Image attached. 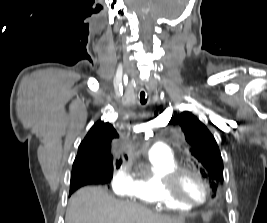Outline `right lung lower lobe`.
<instances>
[{
    "label": "right lung lower lobe",
    "mask_w": 267,
    "mask_h": 223,
    "mask_svg": "<svg viewBox=\"0 0 267 223\" xmlns=\"http://www.w3.org/2000/svg\"><path fill=\"white\" fill-rule=\"evenodd\" d=\"M111 178H107L103 174H77L71 177L70 194L76 189L89 184H107Z\"/></svg>",
    "instance_id": "right-lung-lower-lobe-1"
}]
</instances>
